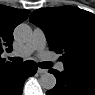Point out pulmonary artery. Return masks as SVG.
<instances>
[{
    "label": "pulmonary artery",
    "instance_id": "e3ab8cb5",
    "mask_svg": "<svg viewBox=\"0 0 95 95\" xmlns=\"http://www.w3.org/2000/svg\"><path fill=\"white\" fill-rule=\"evenodd\" d=\"M46 45V35L44 31L40 28H35L32 37L24 46H22L19 50L13 51L11 56H18L22 58H26L31 55L35 50H43ZM56 68L58 70L64 69V64L58 62L56 64Z\"/></svg>",
    "mask_w": 95,
    "mask_h": 95
}]
</instances>
